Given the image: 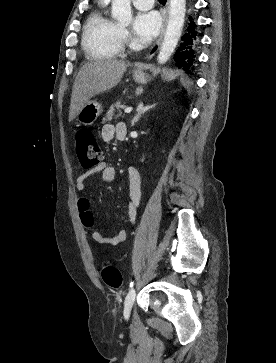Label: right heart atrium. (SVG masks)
<instances>
[{
	"label": "right heart atrium",
	"instance_id": "obj_1",
	"mask_svg": "<svg viewBox=\"0 0 276 363\" xmlns=\"http://www.w3.org/2000/svg\"><path fill=\"white\" fill-rule=\"evenodd\" d=\"M122 37L127 39L129 37V33L125 28H121Z\"/></svg>",
	"mask_w": 276,
	"mask_h": 363
}]
</instances>
